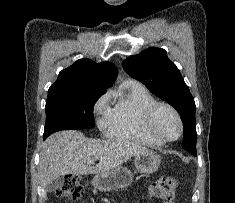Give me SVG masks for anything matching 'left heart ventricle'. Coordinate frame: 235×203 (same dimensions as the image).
I'll return each mask as SVG.
<instances>
[{"mask_svg": "<svg viewBox=\"0 0 235 203\" xmlns=\"http://www.w3.org/2000/svg\"><path fill=\"white\" fill-rule=\"evenodd\" d=\"M152 128L158 135L166 138H174L179 133L178 122L171 111L161 108L156 113Z\"/></svg>", "mask_w": 235, "mask_h": 203, "instance_id": "left-heart-ventricle-1", "label": "left heart ventricle"}]
</instances>
